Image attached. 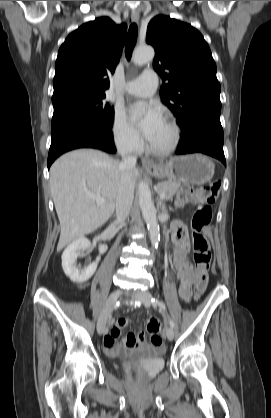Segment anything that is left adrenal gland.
I'll use <instances>...</instances> for the list:
<instances>
[{"label": "left adrenal gland", "mask_w": 271, "mask_h": 418, "mask_svg": "<svg viewBox=\"0 0 271 418\" xmlns=\"http://www.w3.org/2000/svg\"><path fill=\"white\" fill-rule=\"evenodd\" d=\"M158 207L161 208L162 212H167L165 205L161 202V200H157Z\"/></svg>", "instance_id": "obj_1"}]
</instances>
